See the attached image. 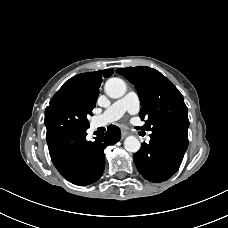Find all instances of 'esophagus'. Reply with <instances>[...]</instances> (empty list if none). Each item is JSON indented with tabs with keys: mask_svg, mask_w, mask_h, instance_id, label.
Returning a JSON list of instances; mask_svg holds the SVG:
<instances>
[{
	"mask_svg": "<svg viewBox=\"0 0 228 228\" xmlns=\"http://www.w3.org/2000/svg\"><path fill=\"white\" fill-rule=\"evenodd\" d=\"M121 135H122V138H125L126 136L129 135V132L126 131V130H124V129H122V130H121Z\"/></svg>",
	"mask_w": 228,
	"mask_h": 228,
	"instance_id": "34e87169",
	"label": "esophagus"
}]
</instances>
